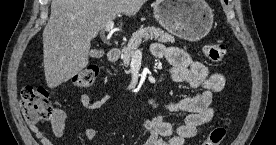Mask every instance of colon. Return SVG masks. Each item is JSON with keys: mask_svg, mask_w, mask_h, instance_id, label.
Here are the masks:
<instances>
[{"mask_svg": "<svg viewBox=\"0 0 276 145\" xmlns=\"http://www.w3.org/2000/svg\"><path fill=\"white\" fill-rule=\"evenodd\" d=\"M204 56L212 63L223 62L226 48L222 44H208L203 47ZM98 76V68L86 66L75 73L70 82L77 88H88L93 85ZM52 94L44 87L25 86L21 90V110L25 120L31 125L49 121L55 111L52 104ZM228 131L227 124L216 125L210 131L203 145H221Z\"/></svg>", "mask_w": 276, "mask_h": 145, "instance_id": "colon-1", "label": "colon"}]
</instances>
